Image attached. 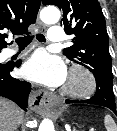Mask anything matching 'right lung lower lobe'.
Returning <instances> with one entry per match:
<instances>
[{
    "label": "right lung lower lobe",
    "instance_id": "obj_1",
    "mask_svg": "<svg viewBox=\"0 0 117 131\" xmlns=\"http://www.w3.org/2000/svg\"><path fill=\"white\" fill-rule=\"evenodd\" d=\"M21 60L11 64H0V96L8 98L26 110L28 95L31 91V84L10 76L14 67H20Z\"/></svg>",
    "mask_w": 117,
    "mask_h": 131
}]
</instances>
